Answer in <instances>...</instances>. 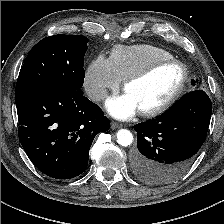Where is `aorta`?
<instances>
[{
  "instance_id": "obj_1",
  "label": "aorta",
  "mask_w": 224,
  "mask_h": 224,
  "mask_svg": "<svg viewBox=\"0 0 224 224\" xmlns=\"http://www.w3.org/2000/svg\"><path fill=\"white\" fill-rule=\"evenodd\" d=\"M133 141L132 133L127 129H121L117 132V142L121 146H129Z\"/></svg>"
}]
</instances>
